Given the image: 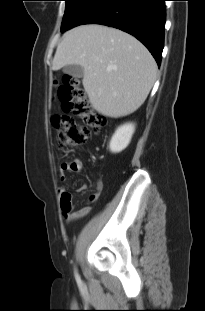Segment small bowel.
<instances>
[{"instance_id":"small-bowel-1","label":"small bowel","mask_w":205,"mask_h":311,"mask_svg":"<svg viewBox=\"0 0 205 311\" xmlns=\"http://www.w3.org/2000/svg\"><path fill=\"white\" fill-rule=\"evenodd\" d=\"M83 168L82 160L79 158H74L69 162L62 163L59 168L60 180L62 182V186L58 189V195L60 197V206L62 210V214L67 221H76L79 220L86 215H88L91 211V207L89 204L85 205H76L73 203L72 194L69 193L65 184L68 182L67 173H79ZM87 189V185H82L80 187V191H85ZM102 190V182L98 181L95 190L90 194L88 201L94 202L96 201Z\"/></svg>"}]
</instances>
